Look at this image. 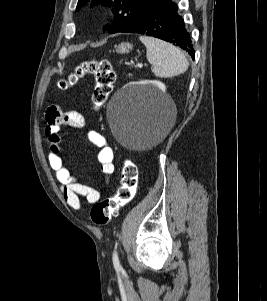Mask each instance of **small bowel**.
I'll return each instance as SVG.
<instances>
[{"label": "small bowel", "instance_id": "c3829d8e", "mask_svg": "<svg viewBox=\"0 0 267 301\" xmlns=\"http://www.w3.org/2000/svg\"><path fill=\"white\" fill-rule=\"evenodd\" d=\"M45 135L49 143L47 159L49 166L55 172L57 181L66 203L74 210L81 209V198L94 204L99 201L101 192L111 186V176L114 173V152L108 145L106 138L97 131L87 133L88 141L98 148L97 160L103 176L100 189L81 183L70 173L64 165L60 154L61 130L63 128L84 129L86 121L77 111H63L59 106L52 105L46 112Z\"/></svg>", "mask_w": 267, "mask_h": 301}]
</instances>
